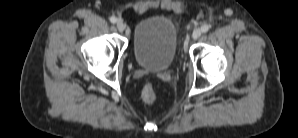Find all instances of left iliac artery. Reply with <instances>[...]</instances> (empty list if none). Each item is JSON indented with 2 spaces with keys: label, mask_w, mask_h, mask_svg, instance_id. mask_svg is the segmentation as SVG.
Instances as JSON below:
<instances>
[{
  "label": "left iliac artery",
  "mask_w": 298,
  "mask_h": 138,
  "mask_svg": "<svg viewBox=\"0 0 298 138\" xmlns=\"http://www.w3.org/2000/svg\"><path fill=\"white\" fill-rule=\"evenodd\" d=\"M209 29H210V26H209V25H203V26L201 27V31H202L203 33L208 32Z\"/></svg>",
  "instance_id": "left-iliac-artery-1"
}]
</instances>
